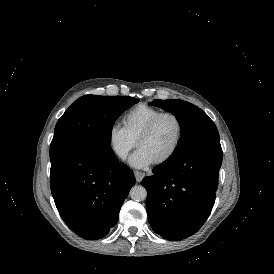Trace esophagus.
Segmentation results:
<instances>
[{
    "mask_svg": "<svg viewBox=\"0 0 274 274\" xmlns=\"http://www.w3.org/2000/svg\"><path fill=\"white\" fill-rule=\"evenodd\" d=\"M134 174H135V178H136L137 182H140L143 179V177L145 176V173L141 172V171H134Z\"/></svg>",
    "mask_w": 274,
    "mask_h": 274,
    "instance_id": "esophagus-1",
    "label": "esophagus"
}]
</instances>
